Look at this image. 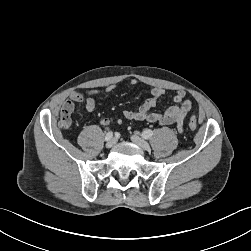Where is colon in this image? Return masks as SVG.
<instances>
[{
  "instance_id": "obj_1",
  "label": "colon",
  "mask_w": 251,
  "mask_h": 251,
  "mask_svg": "<svg viewBox=\"0 0 251 251\" xmlns=\"http://www.w3.org/2000/svg\"><path fill=\"white\" fill-rule=\"evenodd\" d=\"M74 106L65 105L63 106L60 114L59 124L62 128H69L71 126V114L73 112ZM188 126L190 129L194 130L197 127V120L194 116H192L188 121Z\"/></svg>"
}]
</instances>
